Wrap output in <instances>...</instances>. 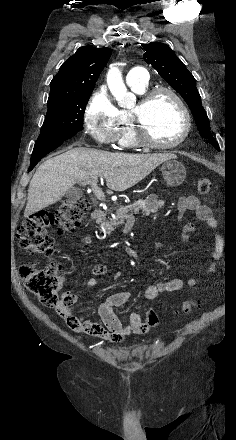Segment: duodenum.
<instances>
[{
  "instance_id": "duodenum-1",
  "label": "duodenum",
  "mask_w": 236,
  "mask_h": 440,
  "mask_svg": "<svg viewBox=\"0 0 236 440\" xmlns=\"http://www.w3.org/2000/svg\"><path fill=\"white\" fill-rule=\"evenodd\" d=\"M106 215V211L103 208H96L91 213V218L94 221L102 219Z\"/></svg>"
}]
</instances>
